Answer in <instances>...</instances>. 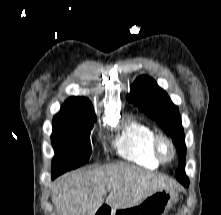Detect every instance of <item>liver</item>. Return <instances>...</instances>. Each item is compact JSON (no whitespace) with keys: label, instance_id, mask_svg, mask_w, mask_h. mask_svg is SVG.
<instances>
[{"label":"liver","instance_id":"obj_1","mask_svg":"<svg viewBox=\"0 0 221 215\" xmlns=\"http://www.w3.org/2000/svg\"><path fill=\"white\" fill-rule=\"evenodd\" d=\"M171 178L126 163L76 170L59 177L51 199L59 215H95L106 204L112 210L139 204L158 190L178 189Z\"/></svg>","mask_w":221,"mask_h":215}]
</instances>
